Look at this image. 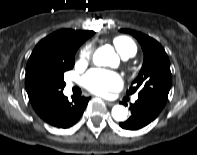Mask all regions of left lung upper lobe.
Segmentation results:
<instances>
[{
	"label": "left lung upper lobe",
	"mask_w": 197,
	"mask_h": 155,
	"mask_svg": "<svg viewBox=\"0 0 197 155\" xmlns=\"http://www.w3.org/2000/svg\"><path fill=\"white\" fill-rule=\"evenodd\" d=\"M122 32L133 35L141 44L144 52V62L133 86L127 95L138 92V98L150 101L163 108L168 99L172 83L168 56L155 39L130 29Z\"/></svg>",
	"instance_id": "obj_1"
}]
</instances>
